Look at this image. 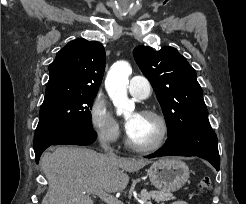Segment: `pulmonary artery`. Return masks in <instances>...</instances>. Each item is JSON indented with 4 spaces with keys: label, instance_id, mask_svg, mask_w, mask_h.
Listing matches in <instances>:
<instances>
[{
    "label": "pulmonary artery",
    "instance_id": "1",
    "mask_svg": "<svg viewBox=\"0 0 246 204\" xmlns=\"http://www.w3.org/2000/svg\"><path fill=\"white\" fill-rule=\"evenodd\" d=\"M128 90L134 98L145 99L151 93V85L147 78L134 76L129 82Z\"/></svg>",
    "mask_w": 246,
    "mask_h": 204
}]
</instances>
